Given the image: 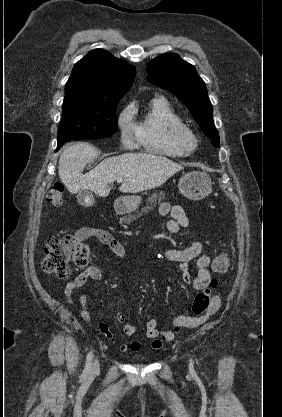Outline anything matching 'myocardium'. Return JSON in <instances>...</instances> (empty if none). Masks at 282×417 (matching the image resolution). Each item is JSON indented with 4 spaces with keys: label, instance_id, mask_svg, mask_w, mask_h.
<instances>
[{
    "label": "myocardium",
    "instance_id": "f54148a6",
    "mask_svg": "<svg viewBox=\"0 0 282 417\" xmlns=\"http://www.w3.org/2000/svg\"><path fill=\"white\" fill-rule=\"evenodd\" d=\"M172 141L184 153H190L194 143L193 133L181 123H172L170 129Z\"/></svg>",
    "mask_w": 282,
    "mask_h": 417
}]
</instances>
